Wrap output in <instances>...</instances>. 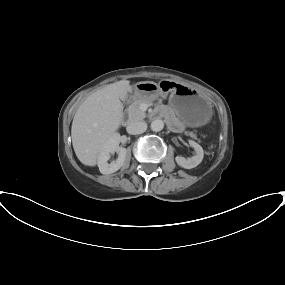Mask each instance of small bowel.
Here are the masks:
<instances>
[{
	"mask_svg": "<svg viewBox=\"0 0 285 285\" xmlns=\"http://www.w3.org/2000/svg\"><path fill=\"white\" fill-rule=\"evenodd\" d=\"M171 124L175 129H178V123L176 121L172 120Z\"/></svg>",
	"mask_w": 285,
	"mask_h": 285,
	"instance_id": "1",
	"label": "small bowel"
}]
</instances>
